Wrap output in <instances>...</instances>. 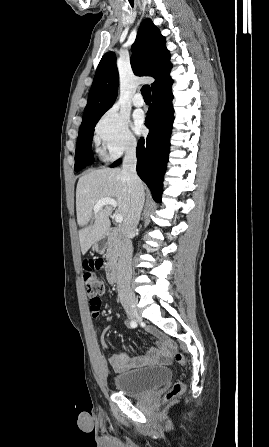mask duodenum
<instances>
[{"instance_id":"1","label":"duodenum","mask_w":269,"mask_h":447,"mask_svg":"<svg viewBox=\"0 0 269 447\" xmlns=\"http://www.w3.org/2000/svg\"><path fill=\"white\" fill-rule=\"evenodd\" d=\"M105 237L109 239H120L121 230L118 228H110L106 233ZM107 279L110 283H115L117 281V266L114 263H111L107 266L106 269Z\"/></svg>"}]
</instances>
